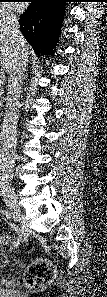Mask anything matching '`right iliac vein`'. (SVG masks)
Listing matches in <instances>:
<instances>
[{
    "mask_svg": "<svg viewBox=\"0 0 107 297\" xmlns=\"http://www.w3.org/2000/svg\"><path fill=\"white\" fill-rule=\"evenodd\" d=\"M5 200L8 206L10 207L13 215L16 217V219L21 220V217H22L21 211L17 205L15 196L12 193L8 194L6 195ZM24 237H25V233L22 231L18 237L17 242L15 243V247H18L20 245V243L24 240Z\"/></svg>",
    "mask_w": 107,
    "mask_h": 297,
    "instance_id": "obj_1",
    "label": "right iliac vein"
}]
</instances>
